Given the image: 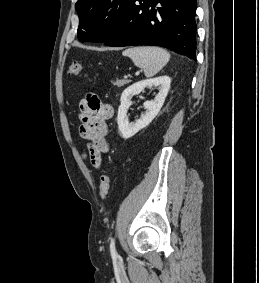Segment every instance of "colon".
I'll return each instance as SVG.
<instances>
[{"label":"colon","instance_id":"obj_1","mask_svg":"<svg viewBox=\"0 0 259 283\" xmlns=\"http://www.w3.org/2000/svg\"><path fill=\"white\" fill-rule=\"evenodd\" d=\"M84 66L81 62L73 61L69 65V74L72 76H77L82 73ZM110 185L111 179L108 174H104L101 177L99 195L103 201L107 200L110 196Z\"/></svg>","mask_w":259,"mask_h":283}]
</instances>
